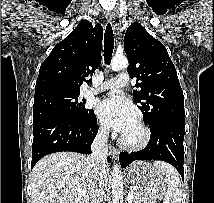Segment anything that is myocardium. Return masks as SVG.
I'll list each match as a JSON object with an SVG mask.
<instances>
[{"label":"myocardium","mask_w":214,"mask_h":203,"mask_svg":"<svg viewBox=\"0 0 214 203\" xmlns=\"http://www.w3.org/2000/svg\"><path fill=\"white\" fill-rule=\"evenodd\" d=\"M138 136L136 138L130 139L125 134L120 139V144L131 150H138L146 147L150 141L151 133L148 127L142 123H137Z\"/></svg>","instance_id":"f54148a6"}]
</instances>
